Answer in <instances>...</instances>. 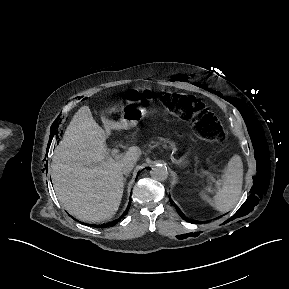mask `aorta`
<instances>
[{"label": "aorta", "mask_w": 289, "mask_h": 289, "mask_svg": "<svg viewBox=\"0 0 289 289\" xmlns=\"http://www.w3.org/2000/svg\"><path fill=\"white\" fill-rule=\"evenodd\" d=\"M168 169L166 166L162 165V164H157L155 166H153L150 170V175L154 180L157 181H164L167 179L168 177Z\"/></svg>", "instance_id": "aorta-1"}]
</instances>
